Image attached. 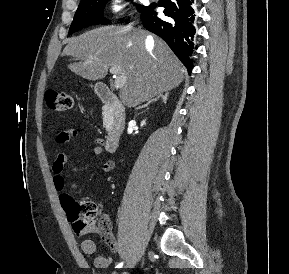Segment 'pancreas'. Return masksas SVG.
<instances>
[{"mask_svg":"<svg viewBox=\"0 0 289 274\" xmlns=\"http://www.w3.org/2000/svg\"><path fill=\"white\" fill-rule=\"evenodd\" d=\"M112 124V117L104 116L103 118V127L108 131L110 130Z\"/></svg>","mask_w":289,"mask_h":274,"instance_id":"pancreas-1","label":"pancreas"}]
</instances>
